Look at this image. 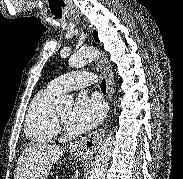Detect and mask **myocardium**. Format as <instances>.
<instances>
[{
	"mask_svg": "<svg viewBox=\"0 0 183 179\" xmlns=\"http://www.w3.org/2000/svg\"><path fill=\"white\" fill-rule=\"evenodd\" d=\"M55 123L57 125V128L66 129L65 122L59 117L57 112H55Z\"/></svg>",
	"mask_w": 183,
	"mask_h": 179,
	"instance_id": "1",
	"label": "myocardium"
}]
</instances>
